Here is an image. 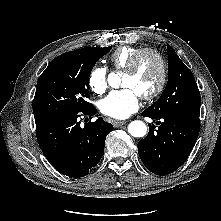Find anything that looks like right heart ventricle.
Masks as SVG:
<instances>
[{"label":"right heart ventricle","mask_w":221,"mask_h":221,"mask_svg":"<svg viewBox=\"0 0 221 221\" xmlns=\"http://www.w3.org/2000/svg\"><path fill=\"white\" fill-rule=\"evenodd\" d=\"M143 48L122 46L116 49L110 56L113 67L117 70H125L134 54Z\"/></svg>","instance_id":"1"}]
</instances>
